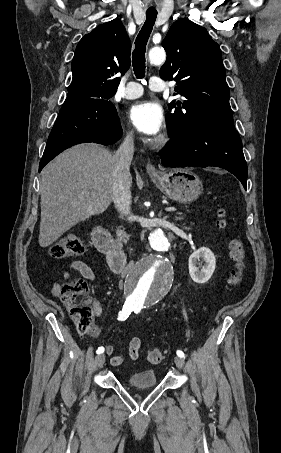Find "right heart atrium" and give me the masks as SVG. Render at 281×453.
Listing matches in <instances>:
<instances>
[{
	"label": "right heart atrium",
	"mask_w": 281,
	"mask_h": 453,
	"mask_svg": "<svg viewBox=\"0 0 281 453\" xmlns=\"http://www.w3.org/2000/svg\"><path fill=\"white\" fill-rule=\"evenodd\" d=\"M135 137V132L130 129V128H126L123 130V138L125 141H131L133 138Z\"/></svg>",
	"instance_id": "1"
}]
</instances>
